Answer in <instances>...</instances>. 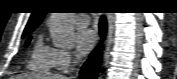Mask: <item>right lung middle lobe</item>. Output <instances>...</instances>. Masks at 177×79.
I'll return each instance as SVG.
<instances>
[{
    "mask_svg": "<svg viewBox=\"0 0 177 79\" xmlns=\"http://www.w3.org/2000/svg\"><path fill=\"white\" fill-rule=\"evenodd\" d=\"M34 29H35V28L25 29V30H24V33H23V35H22V37L27 36V35L30 34ZM30 40H31V37H29V38L27 39L26 44H25V47H27V46L29 45Z\"/></svg>",
    "mask_w": 177,
    "mask_h": 79,
    "instance_id": "1",
    "label": "right lung middle lobe"
}]
</instances>
